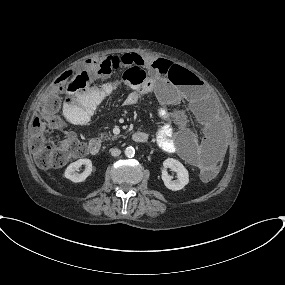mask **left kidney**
<instances>
[{
    "label": "left kidney",
    "instance_id": "obj_1",
    "mask_svg": "<svg viewBox=\"0 0 285 285\" xmlns=\"http://www.w3.org/2000/svg\"><path fill=\"white\" fill-rule=\"evenodd\" d=\"M163 166L164 169L162 170V180L168 189L172 191L181 190L189 183L188 171L178 160L167 158L163 162ZM167 168H170L177 173V180H171V177L166 171Z\"/></svg>",
    "mask_w": 285,
    "mask_h": 285
}]
</instances>
